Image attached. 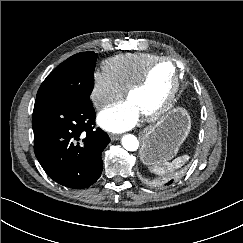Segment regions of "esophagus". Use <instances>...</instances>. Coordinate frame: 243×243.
Returning <instances> with one entry per match:
<instances>
[{
	"label": "esophagus",
	"instance_id": "obj_1",
	"mask_svg": "<svg viewBox=\"0 0 243 243\" xmlns=\"http://www.w3.org/2000/svg\"><path fill=\"white\" fill-rule=\"evenodd\" d=\"M110 139H111L112 141H117V140L120 139V136L117 135V134H110Z\"/></svg>",
	"mask_w": 243,
	"mask_h": 243
}]
</instances>
